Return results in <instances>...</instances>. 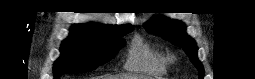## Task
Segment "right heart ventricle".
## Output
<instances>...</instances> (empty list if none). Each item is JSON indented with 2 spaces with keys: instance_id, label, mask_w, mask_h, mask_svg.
<instances>
[{
  "instance_id": "e07e8e85",
  "label": "right heart ventricle",
  "mask_w": 255,
  "mask_h": 79,
  "mask_svg": "<svg viewBox=\"0 0 255 79\" xmlns=\"http://www.w3.org/2000/svg\"><path fill=\"white\" fill-rule=\"evenodd\" d=\"M124 68L146 74H164L167 60L162 52L142 37L136 36L128 50Z\"/></svg>"
}]
</instances>
